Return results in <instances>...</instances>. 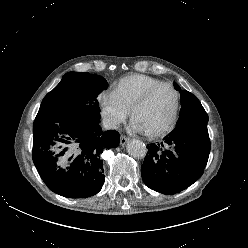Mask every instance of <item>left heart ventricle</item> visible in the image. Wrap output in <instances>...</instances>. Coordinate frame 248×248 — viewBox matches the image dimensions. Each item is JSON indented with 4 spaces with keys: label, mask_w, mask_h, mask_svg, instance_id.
<instances>
[{
    "label": "left heart ventricle",
    "mask_w": 248,
    "mask_h": 248,
    "mask_svg": "<svg viewBox=\"0 0 248 248\" xmlns=\"http://www.w3.org/2000/svg\"><path fill=\"white\" fill-rule=\"evenodd\" d=\"M175 103V96L171 88L162 87L150 98L148 103L137 112L134 122L145 133L154 132L162 128L170 119Z\"/></svg>",
    "instance_id": "b2bd125f"
}]
</instances>
